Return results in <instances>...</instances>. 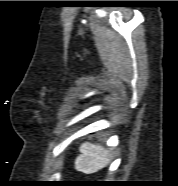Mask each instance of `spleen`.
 Here are the masks:
<instances>
[{
  "label": "spleen",
  "instance_id": "obj_1",
  "mask_svg": "<svg viewBox=\"0 0 178 186\" xmlns=\"http://www.w3.org/2000/svg\"><path fill=\"white\" fill-rule=\"evenodd\" d=\"M80 152L76 160V169L84 173H94L110 162L109 151L101 145L83 143Z\"/></svg>",
  "mask_w": 178,
  "mask_h": 186
}]
</instances>
